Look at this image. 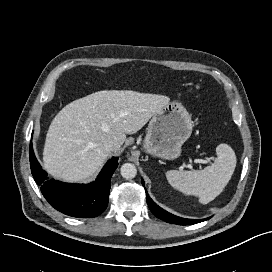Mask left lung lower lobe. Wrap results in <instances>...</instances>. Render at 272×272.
<instances>
[{
  "mask_svg": "<svg viewBox=\"0 0 272 272\" xmlns=\"http://www.w3.org/2000/svg\"><path fill=\"white\" fill-rule=\"evenodd\" d=\"M142 184L144 186V181L142 180ZM146 199H147V204L151 210V212L159 219L164 220L165 222L172 223V224H178V225H191V224H196L202 221H205L207 219H186V218H181L178 216H175L161 207H159L146 193Z\"/></svg>",
  "mask_w": 272,
  "mask_h": 272,
  "instance_id": "obj_1",
  "label": "left lung lower lobe"
}]
</instances>
